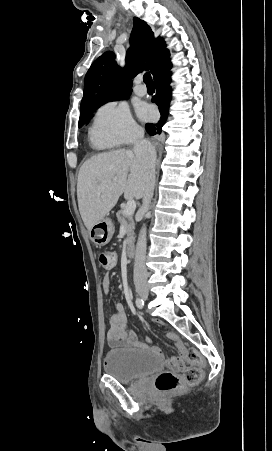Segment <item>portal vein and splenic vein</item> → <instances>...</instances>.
<instances>
[{
  "mask_svg": "<svg viewBox=\"0 0 272 451\" xmlns=\"http://www.w3.org/2000/svg\"><path fill=\"white\" fill-rule=\"evenodd\" d=\"M136 210V202L135 200H129L125 206L124 216H132Z\"/></svg>",
  "mask_w": 272,
  "mask_h": 451,
  "instance_id": "portal-vein-and-splenic-vein-1",
  "label": "portal vein and splenic vein"
}]
</instances>
